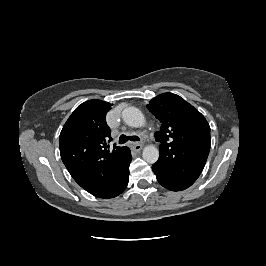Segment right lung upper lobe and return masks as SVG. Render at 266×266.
<instances>
[{
    "label": "right lung upper lobe",
    "mask_w": 266,
    "mask_h": 266,
    "mask_svg": "<svg viewBox=\"0 0 266 266\" xmlns=\"http://www.w3.org/2000/svg\"><path fill=\"white\" fill-rule=\"evenodd\" d=\"M112 104L93 99L79 105L59 137L61 159L74 180L90 194L104 198L115 187L131 155L114 145L106 114Z\"/></svg>",
    "instance_id": "cb5924a9"
}]
</instances>
